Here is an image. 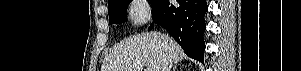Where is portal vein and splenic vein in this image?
I'll list each match as a JSON object with an SVG mask.
<instances>
[{
  "label": "portal vein and splenic vein",
  "mask_w": 301,
  "mask_h": 71,
  "mask_svg": "<svg viewBox=\"0 0 301 71\" xmlns=\"http://www.w3.org/2000/svg\"><path fill=\"white\" fill-rule=\"evenodd\" d=\"M134 67H135V68H137V69H139V68H141V69H142V67H139L138 65H135Z\"/></svg>",
  "instance_id": "portal-vein-and-splenic-vein-1"
}]
</instances>
